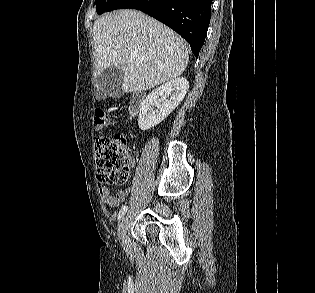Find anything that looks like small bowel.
I'll return each instance as SVG.
<instances>
[{
	"label": "small bowel",
	"mask_w": 315,
	"mask_h": 293,
	"mask_svg": "<svg viewBox=\"0 0 315 293\" xmlns=\"http://www.w3.org/2000/svg\"><path fill=\"white\" fill-rule=\"evenodd\" d=\"M133 164V160H130V165ZM99 193L104 203L110 207H117L121 202H123L127 195V190H113L107 185L99 184Z\"/></svg>",
	"instance_id": "obj_1"
}]
</instances>
